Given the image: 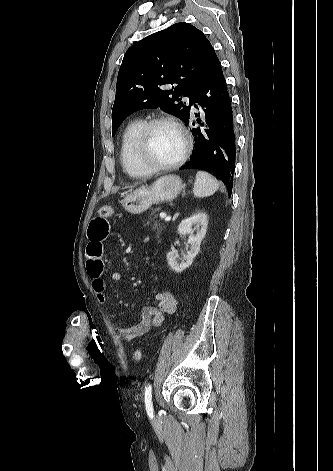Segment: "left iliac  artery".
<instances>
[{
  "instance_id": "1",
  "label": "left iliac artery",
  "mask_w": 333,
  "mask_h": 471,
  "mask_svg": "<svg viewBox=\"0 0 333 471\" xmlns=\"http://www.w3.org/2000/svg\"><path fill=\"white\" fill-rule=\"evenodd\" d=\"M145 406L149 416L153 415V404H152V386L148 385L145 389Z\"/></svg>"
}]
</instances>
